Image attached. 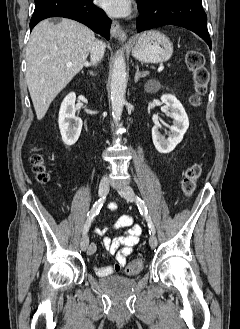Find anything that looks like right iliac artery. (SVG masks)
I'll list each match as a JSON object with an SVG mask.
<instances>
[{
	"instance_id": "obj_1",
	"label": "right iliac artery",
	"mask_w": 240,
	"mask_h": 329,
	"mask_svg": "<svg viewBox=\"0 0 240 329\" xmlns=\"http://www.w3.org/2000/svg\"><path fill=\"white\" fill-rule=\"evenodd\" d=\"M106 197L103 196L93 205L92 209L87 214V220L83 228V234H86L90 228V225L93 221V218L99 213L103 203L105 202Z\"/></svg>"
}]
</instances>
